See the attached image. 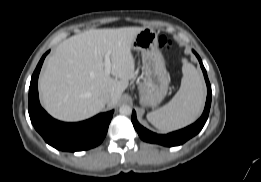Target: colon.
Returning <instances> with one entry per match:
<instances>
[{
    "label": "colon",
    "mask_w": 261,
    "mask_h": 182,
    "mask_svg": "<svg viewBox=\"0 0 261 182\" xmlns=\"http://www.w3.org/2000/svg\"><path fill=\"white\" fill-rule=\"evenodd\" d=\"M158 42H159V47L162 50H168L172 46V41L166 36H161Z\"/></svg>",
    "instance_id": "colon-1"
}]
</instances>
